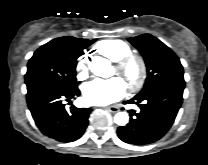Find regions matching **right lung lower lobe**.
<instances>
[{
    "label": "right lung lower lobe",
    "mask_w": 208,
    "mask_h": 165,
    "mask_svg": "<svg viewBox=\"0 0 208 165\" xmlns=\"http://www.w3.org/2000/svg\"><path fill=\"white\" fill-rule=\"evenodd\" d=\"M80 95L79 89H61L44 86L27 94V103L32 117L40 131L59 142H72L79 139L87 125L91 109L70 107L66 111L64 101Z\"/></svg>",
    "instance_id": "obj_1"
}]
</instances>
